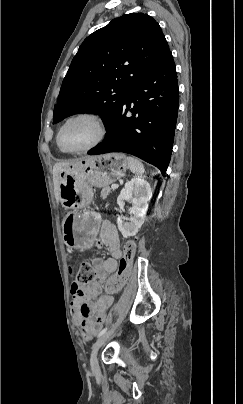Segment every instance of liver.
<instances>
[{
	"label": "liver",
	"mask_w": 243,
	"mask_h": 404,
	"mask_svg": "<svg viewBox=\"0 0 243 404\" xmlns=\"http://www.w3.org/2000/svg\"><path fill=\"white\" fill-rule=\"evenodd\" d=\"M77 164V162H76ZM66 166H70V164H66V162H62V164H55L53 166V184H54V194L55 200L57 204L60 202V192H59V174L62 168H66Z\"/></svg>",
	"instance_id": "6515ba94"
}]
</instances>
